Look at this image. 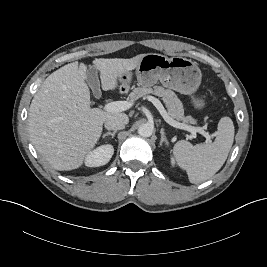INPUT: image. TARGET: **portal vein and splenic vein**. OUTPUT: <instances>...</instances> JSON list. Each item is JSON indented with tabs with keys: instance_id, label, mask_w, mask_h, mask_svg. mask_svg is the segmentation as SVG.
<instances>
[{
	"instance_id": "1",
	"label": "portal vein and splenic vein",
	"mask_w": 267,
	"mask_h": 267,
	"mask_svg": "<svg viewBox=\"0 0 267 267\" xmlns=\"http://www.w3.org/2000/svg\"><path fill=\"white\" fill-rule=\"evenodd\" d=\"M147 99L153 103V105L157 108L159 113L162 115L164 120L169 125H171L175 128H178V129H183V130L189 131L191 133L192 138H196V133L198 132V133L202 134L207 139L208 143L211 142V135H209L208 132H205L200 127H193V126H189V125L175 121L167 113V111L165 110V108L162 105V103L160 102V100H158L157 98H155L153 96H148ZM132 105H133V103L130 101H114V102H110V103L105 104L104 110L107 112H121V111H125V110L130 109L132 107Z\"/></svg>"
}]
</instances>
